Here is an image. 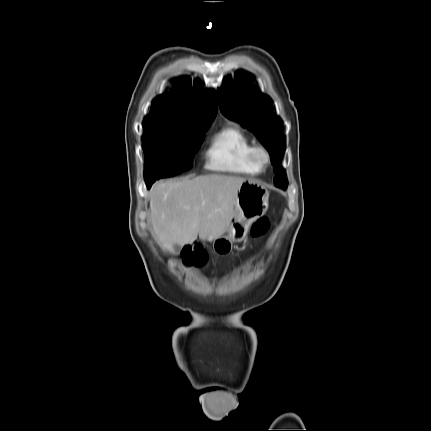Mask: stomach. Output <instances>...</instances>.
<instances>
[{
	"label": "stomach",
	"mask_w": 431,
	"mask_h": 431,
	"mask_svg": "<svg viewBox=\"0 0 431 431\" xmlns=\"http://www.w3.org/2000/svg\"><path fill=\"white\" fill-rule=\"evenodd\" d=\"M269 192L263 185L246 181L237 190L234 213L223 234L209 241L218 254H228L232 251L234 242H241L250 225L263 216L268 209Z\"/></svg>",
	"instance_id": "0dacf381"
}]
</instances>
